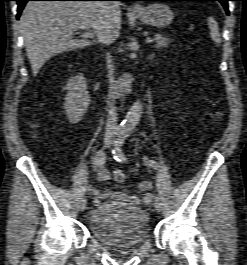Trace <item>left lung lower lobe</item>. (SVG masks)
<instances>
[{
  "mask_svg": "<svg viewBox=\"0 0 247 265\" xmlns=\"http://www.w3.org/2000/svg\"><path fill=\"white\" fill-rule=\"evenodd\" d=\"M127 1H179V0H127ZM194 1H219L227 14H229V10H228V1L230 0H194Z\"/></svg>",
  "mask_w": 247,
  "mask_h": 265,
  "instance_id": "0a47b994",
  "label": "left lung lower lobe"
}]
</instances>
